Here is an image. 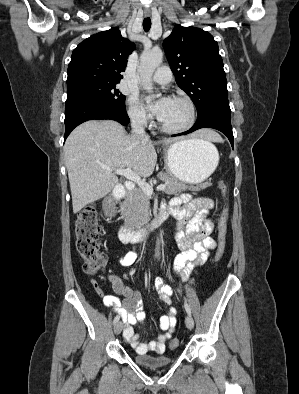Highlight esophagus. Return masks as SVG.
Masks as SVG:
<instances>
[{"label":"esophagus","mask_w":299,"mask_h":394,"mask_svg":"<svg viewBox=\"0 0 299 394\" xmlns=\"http://www.w3.org/2000/svg\"><path fill=\"white\" fill-rule=\"evenodd\" d=\"M150 16V12H145V17H149Z\"/></svg>","instance_id":"1"}]
</instances>
